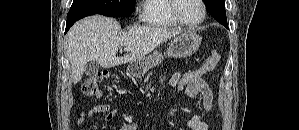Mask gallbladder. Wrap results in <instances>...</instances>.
I'll list each match as a JSON object with an SVG mask.
<instances>
[{
  "label": "gallbladder",
  "mask_w": 299,
  "mask_h": 130,
  "mask_svg": "<svg viewBox=\"0 0 299 130\" xmlns=\"http://www.w3.org/2000/svg\"><path fill=\"white\" fill-rule=\"evenodd\" d=\"M98 70H99V64L95 61H90L86 64L84 68V73L86 76L91 77L97 74Z\"/></svg>",
  "instance_id": "bac80fb5"
}]
</instances>
